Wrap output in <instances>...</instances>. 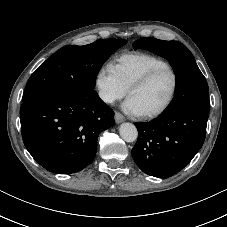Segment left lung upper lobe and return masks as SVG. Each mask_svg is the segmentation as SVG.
Masks as SVG:
<instances>
[{
	"label": "left lung upper lobe",
	"instance_id": "left-lung-upper-lobe-1",
	"mask_svg": "<svg viewBox=\"0 0 227 227\" xmlns=\"http://www.w3.org/2000/svg\"><path fill=\"white\" fill-rule=\"evenodd\" d=\"M134 49H147L166 58L175 74V97L164 113L182 109L209 112V89L192 53L180 42L156 38H141L134 42Z\"/></svg>",
	"mask_w": 227,
	"mask_h": 227
}]
</instances>
